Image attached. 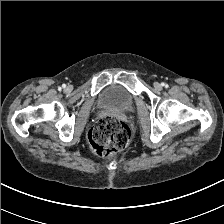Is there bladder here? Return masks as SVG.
<instances>
[{"label":"bladder","instance_id":"31cf9c89","mask_svg":"<svg viewBox=\"0 0 224 224\" xmlns=\"http://www.w3.org/2000/svg\"><path fill=\"white\" fill-rule=\"evenodd\" d=\"M98 103L103 109L128 112L134 107V98L124 88L110 85L101 92Z\"/></svg>","mask_w":224,"mask_h":224}]
</instances>
